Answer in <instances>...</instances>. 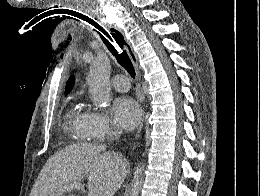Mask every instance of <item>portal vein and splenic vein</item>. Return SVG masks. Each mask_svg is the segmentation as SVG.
<instances>
[{
    "instance_id": "1",
    "label": "portal vein and splenic vein",
    "mask_w": 260,
    "mask_h": 196,
    "mask_svg": "<svg viewBox=\"0 0 260 196\" xmlns=\"http://www.w3.org/2000/svg\"><path fill=\"white\" fill-rule=\"evenodd\" d=\"M68 190H84V186L80 182H76V184H69L67 188H63L60 192H68Z\"/></svg>"
}]
</instances>
